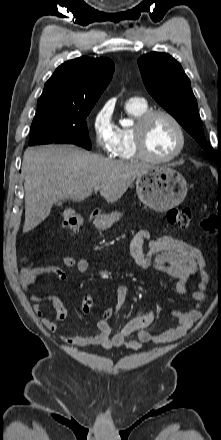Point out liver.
Wrapping results in <instances>:
<instances>
[{"label":"liver","instance_id":"obj_1","mask_svg":"<svg viewBox=\"0 0 221 440\" xmlns=\"http://www.w3.org/2000/svg\"><path fill=\"white\" fill-rule=\"evenodd\" d=\"M152 165L112 160L73 146L28 148L23 156L25 190L23 233L37 227L61 199L82 201L100 186L108 202L119 200L132 182Z\"/></svg>","mask_w":221,"mask_h":440}]
</instances>
